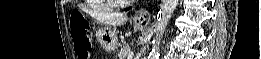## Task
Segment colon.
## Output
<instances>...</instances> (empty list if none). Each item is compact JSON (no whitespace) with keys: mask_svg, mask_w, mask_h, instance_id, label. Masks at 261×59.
I'll use <instances>...</instances> for the list:
<instances>
[{"mask_svg":"<svg viewBox=\"0 0 261 59\" xmlns=\"http://www.w3.org/2000/svg\"><path fill=\"white\" fill-rule=\"evenodd\" d=\"M70 28L76 54L80 59H88L91 42L87 28L82 22L78 23L76 19L71 21Z\"/></svg>","mask_w":261,"mask_h":59,"instance_id":"obj_1","label":"colon"}]
</instances>
